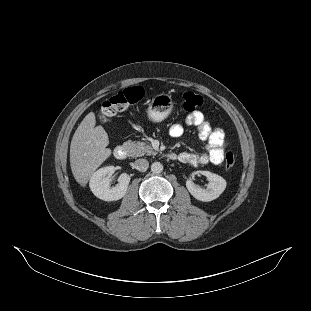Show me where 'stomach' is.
I'll use <instances>...</instances> for the list:
<instances>
[{"instance_id": "0dacf381", "label": "stomach", "mask_w": 311, "mask_h": 311, "mask_svg": "<svg viewBox=\"0 0 311 311\" xmlns=\"http://www.w3.org/2000/svg\"><path fill=\"white\" fill-rule=\"evenodd\" d=\"M174 103L171 95L161 93L154 96L147 108V117L150 121L159 123L165 120L172 112Z\"/></svg>"}]
</instances>
